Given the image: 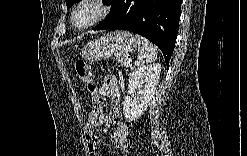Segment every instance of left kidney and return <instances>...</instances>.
Returning <instances> with one entry per match:
<instances>
[{
  "instance_id": "1",
  "label": "left kidney",
  "mask_w": 247,
  "mask_h": 156,
  "mask_svg": "<svg viewBox=\"0 0 247 156\" xmlns=\"http://www.w3.org/2000/svg\"><path fill=\"white\" fill-rule=\"evenodd\" d=\"M160 72L161 65L154 63L138 67L130 74L128 84L130 95L123 101V113L129 121L137 120L147 110L158 85Z\"/></svg>"
}]
</instances>
